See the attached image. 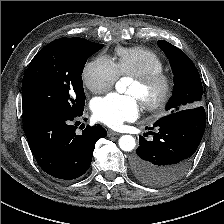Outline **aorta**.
Segmentation results:
<instances>
[{
    "label": "aorta",
    "mask_w": 224,
    "mask_h": 224,
    "mask_svg": "<svg viewBox=\"0 0 224 224\" xmlns=\"http://www.w3.org/2000/svg\"><path fill=\"white\" fill-rule=\"evenodd\" d=\"M126 78H121L120 81L116 83V90L119 93H124L126 89ZM136 146L134 137L131 135H123L119 139V147L126 152L132 151Z\"/></svg>",
    "instance_id": "obj_1"
}]
</instances>
